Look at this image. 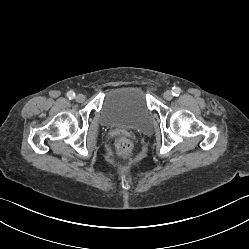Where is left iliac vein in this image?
<instances>
[{
    "label": "left iliac vein",
    "mask_w": 249,
    "mask_h": 249,
    "mask_svg": "<svg viewBox=\"0 0 249 249\" xmlns=\"http://www.w3.org/2000/svg\"><path fill=\"white\" fill-rule=\"evenodd\" d=\"M163 97L170 101L173 98L172 92L171 91H165Z\"/></svg>",
    "instance_id": "1"
}]
</instances>
